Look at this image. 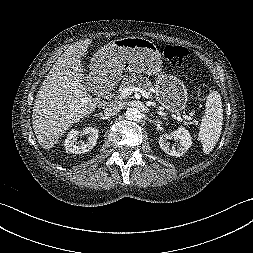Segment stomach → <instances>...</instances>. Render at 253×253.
I'll return each mask as SVG.
<instances>
[{"label":"stomach","mask_w":253,"mask_h":253,"mask_svg":"<svg viewBox=\"0 0 253 253\" xmlns=\"http://www.w3.org/2000/svg\"><path fill=\"white\" fill-rule=\"evenodd\" d=\"M123 71L156 75V98L171 113H179L188 101L184 83L176 76L162 71L161 54L156 45L142 37L114 40L99 50L91 64L94 77L113 75Z\"/></svg>","instance_id":"1"}]
</instances>
